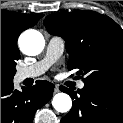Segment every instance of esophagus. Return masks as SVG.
<instances>
[{
    "mask_svg": "<svg viewBox=\"0 0 123 123\" xmlns=\"http://www.w3.org/2000/svg\"><path fill=\"white\" fill-rule=\"evenodd\" d=\"M59 92V85H55L54 87V93H58Z\"/></svg>",
    "mask_w": 123,
    "mask_h": 123,
    "instance_id": "esophagus-1",
    "label": "esophagus"
}]
</instances>
